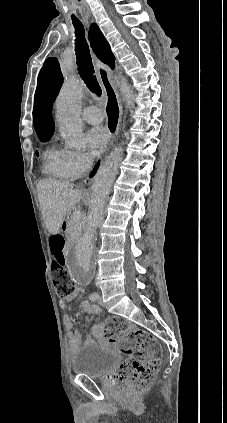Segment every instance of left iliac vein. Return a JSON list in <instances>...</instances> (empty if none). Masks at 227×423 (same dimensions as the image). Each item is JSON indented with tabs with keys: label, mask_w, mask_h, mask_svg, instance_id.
Returning <instances> with one entry per match:
<instances>
[{
	"label": "left iliac vein",
	"mask_w": 227,
	"mask_h": 423,
	"mask_svg": "<svg viewBox=\"0 0 227 423\" xmlns=\"http://www.w3.org/2000/svg\"><path fill=\"white\" fill-rule=\"evenodd\" d=\"M98 302H99V304L103 305V299H102V296H100V297L98 298Z\"/></svg>",
	"instance_id": "4c4485c4"
}]
</instances>
